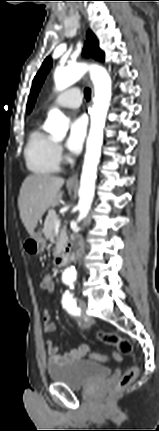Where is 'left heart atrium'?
<instances>
[{
    "instance_id": "obj_1",
    "label": "left heart atrium",
    "mask_w": 159,
    "mask_h": 431,
    "mask_svg": "<svg viewBox=\"0 0 159 431\" xmlns=\"http://www.w3.org/2000/svg\"><path fill=\"white\" fill-rule=\"evenodd\" d=\"M87 131V119L84 116L74 118L69 126L66 147L72 153H79L82 149Z\"/></svg>"
}]
</instances>
